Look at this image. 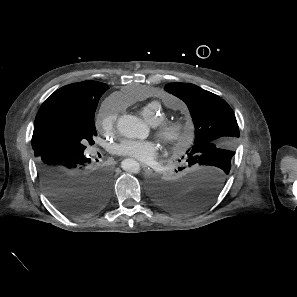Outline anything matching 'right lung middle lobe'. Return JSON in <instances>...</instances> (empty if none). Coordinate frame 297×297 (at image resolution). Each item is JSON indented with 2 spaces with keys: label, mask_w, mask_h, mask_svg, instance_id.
Returning a JSON list of instances; mask_svg holds the SVG:
<instances>
[{
  "label": "right lung middle lobe",
  "mask_w": 297,
  "mask_h": 297,
  "mask_svg": "<svg viewBox=\"0 0 297 297\" xmlns=\"http://www.w3.org/2000/svg\"><path fill=\"white\" fill-rule=\"evenodd\" d=\"M96 107L77 110L63 106L54 110L42 125L38 147L47 149H65L73 153H83L85 143L94 144L97 135L94 115Z\"/></svg>",
  "instance_id": "1"
}]
</instances>
